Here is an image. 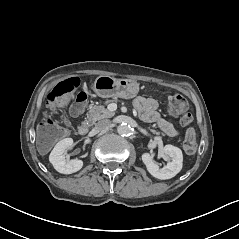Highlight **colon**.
I'll return each mask as SVG.
<instances>
[{
    "mask_svg": "<svg viewBox=\"0 0 239 239\" xmlns=\"http://www.w3.org/2000/svg\"><path fill=\"white\" fill-rule=\"evenodd\" d=\"M80 85L77 77L65 79L56 84L51 92L47 95V106L55 108L65 104L70 96ZM87 93L81 91L78 93L70 112L73 116L79 115L87 103ZM169 111L173 115H182L181 124L186 127V135L183 142V148L187 154H194L197 150L196 131L193 127V116L188 112V103L180 94H174L169 98ZM40 134L45 143H51L60 139L64 135L63 129L52 119L47 118L41 125Z\"/></svg>",
    "mask_w": 239,
    "mask_h": 239,
    "instance_id": "obj_1",
    "label": "colon"
}]
</instances>
